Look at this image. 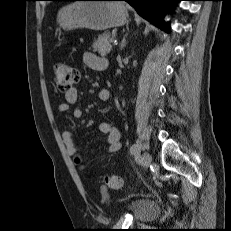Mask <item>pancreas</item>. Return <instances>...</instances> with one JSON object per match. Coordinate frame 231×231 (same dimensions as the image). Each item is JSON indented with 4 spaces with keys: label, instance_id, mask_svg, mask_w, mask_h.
Masks as SVG:
<instances>
[{
    "label": "pancreas",
    "instance_id": "1",
    "mask_svg": "<svg viewBox=\"0 0 231 231\" xmlns=\"http://www.w3.org/2000/svg\"><path fill=\"white\" fill-rule=\"evenodd\" d=\"M110 34L103 33L98 37V39L93 43V51L98 52L101 56H106L110 53L112 46L110 44Z\"/></svg>",
    "mask_w": 231,
    "mask_h": 231
}]
</instances>
